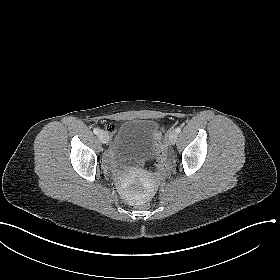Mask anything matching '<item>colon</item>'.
I'll return each instance as SVG.
<instances>
[{"instance_id": "colon-1", "label": "colon", "mask_w": 280, "mask_h": 280, "mask_svg": "<svg viewBox=\"0 0 280 280\" xmlns=\"http://www.w3.org/2000/svg\"><path fill=\"white\" fill-rule=\"evenodd\" d=\"M110 129H112V127H110ZM156 167H157V168L162 167V163L157 164ZM151 206H152V204H151V202H149V201H146V202H143L142 204H140V207H141V208H144V209L150 208Z\"/></svg>"}]
</instances>
